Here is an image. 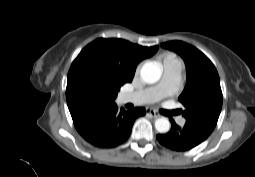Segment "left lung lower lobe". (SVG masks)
Listing matches in <instances>:
<instances>
[{"label":"left lung lower lobe","mask_w":255,"mask_h":177,"mask_svg":"<svg viewBox=\"0 0 255 177\" xmlns=\"http://www.w3.org/2000/svg\"><path fill=\"white\" fill-rule=\"evenodd\" d=\"M171 130L166 134H158L157 140L163 146L174 151H187L202 143L209 134L188 125L179 127L171 120Z\"/></svg>","instance_id":"0a47b994"}]
</instances>
